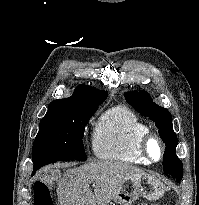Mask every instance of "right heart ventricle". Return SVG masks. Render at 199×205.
I'll return each mask as SVG.
<instances>
[{
	"instance_id": "e07e8e85",
	"label": "right heart ventricle",
	"mask_w": 199,
	"mask_h": 205,
	"mask_svg": "<svg viewBox=\"0 0 199 205\" xmlns=\"http://www.w3.org/2000/svg\"><path fill=\"white\" fill-rule=\"evenodd\" d=\"M148 131L147 125L129 108H110L98 119L93 134L94 153L102 160L147 165L138 145L141 136Z\"/></svg>"
}]
</instances>
